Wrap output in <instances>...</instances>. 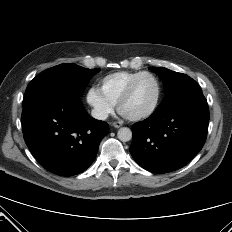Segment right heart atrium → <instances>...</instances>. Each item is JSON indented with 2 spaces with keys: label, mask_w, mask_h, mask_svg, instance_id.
Here are the masks:
<instances>
[{
  "label": "right heart atrium",
  "mask_w": 232,
  "mask_h": 232,
  "mask_svg": "<svg viewBox=\"0 0 232 232\" xmlns=\"http://www.w3.org/2000/svg\"><path fill=\"white\" fill-rule=\"evenodd\" d=\"M86 101L91 107L94 117L99 120L107 119L114 110V105L110 103L96 87L88 89Z\"/></svg>",
  "instance_id": "obj_1"
}]
</instances>
